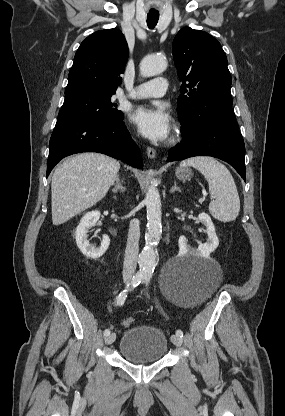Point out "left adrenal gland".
Wrapping results in <instances>:
<instances>
[{
    "mask_svg": "<svg viewBox=\"0 0 285 416\" xmlns=\"http://www.w3.org/2000/svg\"><path fill=\"white\" fill-rule=\"evenodd\" d=\"M172 192H181L180 188H178L176 182H174V186L171 188V194Z\"/></svg>",
    "mask_w": 285,
    "mask_h": 416,
    "instance_id": "obj_1",
    "label": "left adrenal gland"
}]
</instances>
